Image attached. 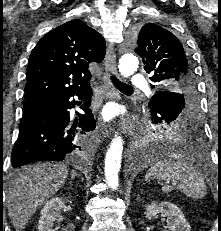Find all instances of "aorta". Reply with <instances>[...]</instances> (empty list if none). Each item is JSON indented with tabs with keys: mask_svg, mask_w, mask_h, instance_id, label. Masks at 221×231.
I'll return each instance as SVG.
<instances>
[{
	"mask_svg": "<svg viewBox=\"0 0 221 231\" xmlns=\"http://www.w3.org/2000/svg\"><path fill=\"white\" fill-rule=\"evenodd\" d=\"M139 61L135 55L128 52L125 53L119 61V71L124 77L133 75L138 69ZM123 139L121 136H115L107 150L105 157V178L107 184L112 189H117L119 185L118 173L121 167ZM148 158L142 157L141 161H146Z\"/></svg>",
	"mask_w": 221,
	"mask_h": 231,
	"instance_id": "762f6f07",
	"label": "aorta"
}]
</instances>
